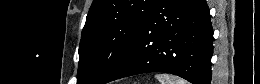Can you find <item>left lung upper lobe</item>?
<instances>
[{"label":"left lung upper lobe","mask_w":260,"mask_h":84,"mask_svg":"<svg viewBox=\"0 0 260 84\" xmlns=\"http://www.w3.org/2000/svg\"><path fill=\"white\" fill-rule=\"evenodd\" d=\"M156 0H94L79 46L77 84H103L138 34Z\"/></svg>","instance_id":"1"}]
</instances>
